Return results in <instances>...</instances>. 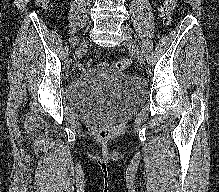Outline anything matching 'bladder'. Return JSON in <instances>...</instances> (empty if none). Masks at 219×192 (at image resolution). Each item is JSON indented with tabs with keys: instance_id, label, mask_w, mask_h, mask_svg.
Returning <instances> with one entry per match:
<instances>
[{
	"instance_id": "bladder-1",
	"label": "bladder",
	"mask_w": 219,
	"mask_h": 192,
	"mask_svg": "<svg viewBox=\"0 0 219 192\" xmlns=\"http://www.w3.org/2000/svg\"><path fill=\"white\" fill-rule=\"evenodd\" d=\"M146 94L141 81L105 67L80 75L65 88L70 109L91 122L122 119L144 103Z\"/></svg>"
}]
</instances>
